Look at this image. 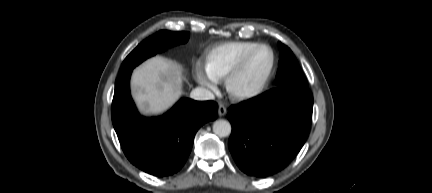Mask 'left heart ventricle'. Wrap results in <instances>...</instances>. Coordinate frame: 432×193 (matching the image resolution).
<instances>
[{"label": "left heart ventricle", "instance_id": "1", "mask_svg": "<svg viewBox=\"0 0 432 193\" xmlns=\"http://www.w3.org/2000/svg\"><path fill=\"white\" fill-rule=\"evenodd\" d=\"M271 62V52L266 48L259 50L238 76L235 83L236 86L241 90H249L257 87L266 77Z\"/></svg>", "mask_w": 432, "mask_h": 193}]
</instances>
